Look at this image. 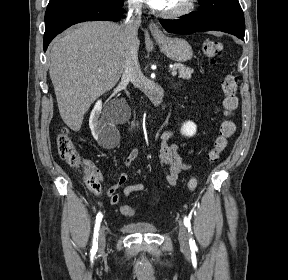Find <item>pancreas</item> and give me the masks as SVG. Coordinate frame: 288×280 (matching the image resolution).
Wrapping results in <instances>:
<instances>
[{
	"label": "pancreas",
	"instance_id": "obj_1",
	"mask_svg": "<svg viewBox=\"0 0 288 280\" xmlns=\"http://www.w3.org/2000/svg\"><path fill=\"white\" fill-rule=\"evenodd\" d=\"M173 68L178 69L179 70V77L182 79H190L191 75L193 73V69L190 67H186L183 64L180 63H175L173 65Z\"/></svg>",
	"mask_w": 288,
	"mask_h": 280
}]
</instances>
